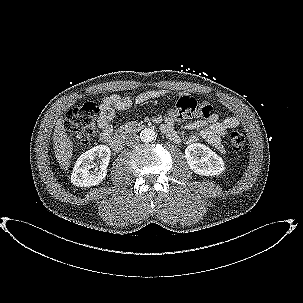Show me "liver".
<instances>
[{
  "label": "liver",
  "instance_id": "6515ba94",
  "mask_svg": "<svg viewBox=\"0 0 303 303\" xmlns=\"http://www.w3.org/2000/svg\"><path fill=\"white\" fill-rule=\"evenodd\" d=\"M53 142L55 157L57 158L60 167L63 170H68L72 158L73 144L66 133L62 116H60L56 121L53 133Z\"/></svg>",
  "mask_w": 303,
  "mask_h": 303
}]
</instances>
